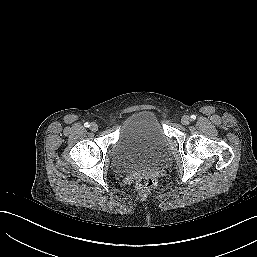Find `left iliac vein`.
Instances as JSON below:
<instances>
[{"mask_svg":"<svg viewBox=\"0 0 257 257\" xmlns=\"http://www.w3.org/2000/svg\"><path fill=\"white\" fill-rule=\"evenodd\" d=\"M191 122V119L188 115H184L182 118H181V123L183 125H188L189 123Z\"/></svg>","mask_w":257,"mask_h":257,"instance_id":"obj_1","label":"left iliac vein"}]
</instances>
